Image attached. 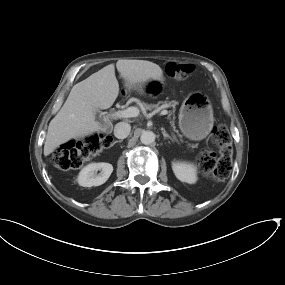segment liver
I'll return each instance as SVG.
<instances>
[{
	"label": "liver",
	"instance_id": "obj_1",
	"mask_svg": "<svg viewBox=\"0 0 285 285\" xmlns=\"http://www.w3.org/2000/svg\"><path fill=\"white\" fill-rule=\"evenodd\" d=\"M116 68L129 88L142 90L143 84L149 80L163 81L162 69L150 61L121 59L117 61ZM118 94L119 83L114 64L105 66L74 85L62 108L49 123L44 155L48 156L72 139L105 130L101 123L95 121L96 112L110 108Z\"/></svg>",
	"mask_w": 285,
	"mask_h": 285
}]
</instances>
